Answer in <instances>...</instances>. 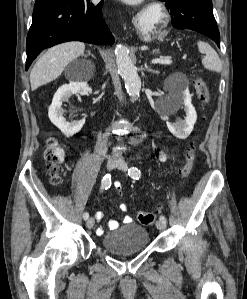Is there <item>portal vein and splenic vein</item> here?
<instances>
[{"mask_svg": "<svg viewBox=\"0 0 247 299\" xmlns=\"http://www.w3.org/2000/svg\"><path fill=\"white\" fill-rule=\"evenodd\" d=\"M153 64H166L169 65L172 63V60L170 58H157V59H153L151 61Z\"/></svg>", "mask_w": 247, "mask_h": 299, "instance_id": "1", "label": "portal vein and splenic vein"}]
</instances>
